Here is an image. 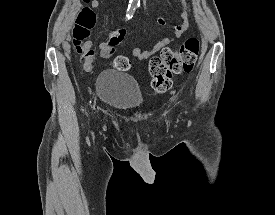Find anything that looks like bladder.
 Listing matches in <instances>:
<instances>
[{"mask_svg":"<svg viewBox=\"0 0 275 215\" xmlns=\"http://www.w3.org/2000/svg\"><path fill=\"white\" fill-rule=\"evenodd\" d=\"M96 87L101 101L114 109L130 111L143 101L136 81L131 76L114 70L101 71Z\"/></svg>","mask_w":275,"mask_h":215,"instance_id":"bladder-1","label":"bladder"}]
</instances>
